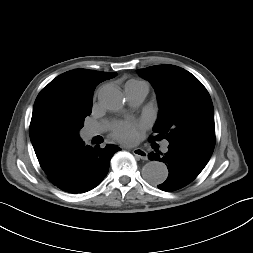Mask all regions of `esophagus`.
I'll list each match as a JSON object with an SVG mask.
<instances>
[{"instance_id":"34e87169","label":"esophagus","mask_w":253,"mask_h":253,"mask_svg":"<svg viewBox=\"0 0 253 253\" xmlns=\"http://www.w3.org/2000/svg\"><path fill=\"white\" fill-rule=\"evenodd\" d=\"M132 152L136 157H138L142 160H147L148 159V153L142 148H135V149H133Z\"/></svg>"}]
</instances>
